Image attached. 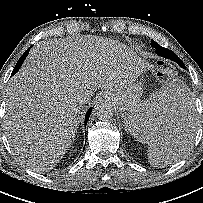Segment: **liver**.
<instances>
[{
    "label": "liver",
    "instance_id": "1",
    "mask_svg": "<svg viewBox=\"0 0 203 203\" xmlns=\"http://www.w3.org/2000/svg\"><path fill=\"white\" fill-rule=\"evenodd\" d=\"M143 66L136 53L101 37L37 43L7 87L4 125L14 155L36 172L55 167L74 140L82 106L97 88L111 100ZM187 132L186 121L166 113L154 137L160 144Z\"/></svg>",
    "mask_w": 203,
    "mask_h": 203
}]
</instances>
